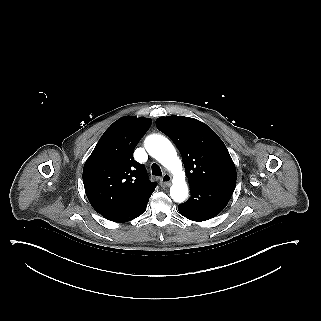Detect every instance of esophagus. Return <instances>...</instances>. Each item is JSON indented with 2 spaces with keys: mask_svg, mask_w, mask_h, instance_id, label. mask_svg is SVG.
<instances>
[{
  "mask_svg": "<svg viewBox=\"0 0 321 321\" xmlns=\"http://www.w3.org/2000/svg\"><path fill=\"white\" fill-rule=\"evenodd\" d=\"M172 177L170 174H165L160 180V185L163 188L169 187L171 185Z\"/></svg>",
  "mask_w": 321,
  "mask_h": 321,
  "instance_id": "obj_1",
  "label": "esophagus"
}]
</instances>
